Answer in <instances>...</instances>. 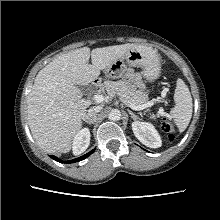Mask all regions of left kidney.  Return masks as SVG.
I'll return each instance as SVG.
<instances>
[{"label":"left kidney","mask_w":220,"mask_h":220,"mask_svg":"<svg viewBox=\"0 0 220 220\" xmlns=\"http://www.w3.org/2000/svg\"><path fill=\"white\" fill-rule=\"evenodd\" d=\"M132 130L136 138L145 146L150 148L161 147V138L154 126L148 122L135 121Z\"/></svg>","instance_id":"obj_1"}]
</instances>
